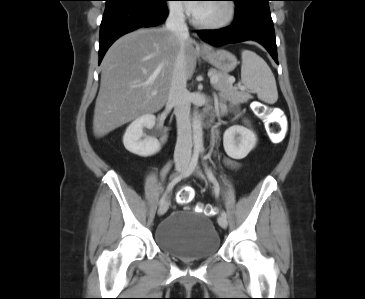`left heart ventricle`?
Here are the masks:
<instances>
[{"mask_svg": "<svg viewBox=\"0 0 365 299\" xmlns=\"http://www.w3.org/2000/svg\"><path fill=\"white\" fill-rule=\"evenodd\" d=\"M227 14L228 7L225 2H210L201 4L195 16L202 22H218L223 20Z\"/></svg>", "mask_w": 365, "mask_h": 299, "instance_id": "b2bd125f", "label": "left heart ventricle"}]
</instances>
